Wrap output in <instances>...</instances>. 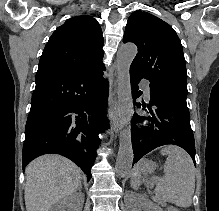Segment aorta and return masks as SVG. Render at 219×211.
<instances>
[{
    "label": "aorta",
    "mask_w": 219,
    "mask_h": 211,
    "mask_svg": "<svg viewBox=\"0 0 219 211\" xmlns=\"http://www.w3.org/2000/svg\"><path fill=\"white\" fill-rule=\"evenodd\" d=\"M136 54L137 47L132 43L122 45L117 52L118 114L123 129L120 132L115 169L120 177H125L131 172L134 158L129 125L133 114L130 66Z\"/></svg>",
    "instance_id": "762f6f07"
}]
</instances>
